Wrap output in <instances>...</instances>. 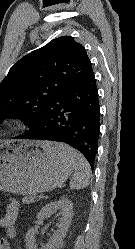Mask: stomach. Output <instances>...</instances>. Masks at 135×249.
Returning <instances> with one entry per match:
<instances>
[{
	"label": "stomach",
	"mask_w": 135,
	"mask_h": 249,
	"mask_svg": "<svg viewBox=\"0 0 135 249\" xmlns=\"http://www.w3.org/2000/svg\"><path fill=\"white\" fill-rule=\"evenodd\" d=\"M57 144L35 140L0 144V190L35 195L62 185L74 165Z\"/></svg>",
	"instance_id": "obj_1"
}]
</instances>
